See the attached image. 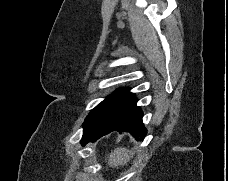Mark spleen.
<instances>
[{
    "mask_svg": "<svg viewBox=\"0 0 228 181\" xmlns=\"http://www.w3.org/2000/svg\"><path fill=\"white\" fill-rule=\"evenodd\" d=\"M129 151L127 149H114L108 157L110 167H117V165H125L129 161Z\"/></svg>",
    "mask_w": 228,
    "mask_h": 181,
    "instance_id": "obj_1",
    "label": "spleen"
}]
</instances>
